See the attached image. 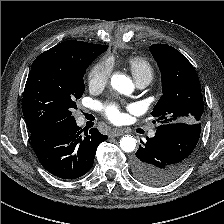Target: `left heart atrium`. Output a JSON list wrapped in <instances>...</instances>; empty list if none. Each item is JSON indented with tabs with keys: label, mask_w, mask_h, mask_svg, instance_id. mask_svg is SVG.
<instances>
[{
	"label": "left heart atrium",
	"mask_w": 224,
	"mask_h": 224,
	"mask_svg": "<svg viewBox=\"0 0 224 224\" xmlns=\"http://www.w3.org/2000/svg\"><path fill=\"white\" fill-rule=\"evenodd\" d=\"M105 116L112 122H119L121 119V111L116 104H108L102 107Z\"/></svg>",
	"instance_id": "obj_1"
}]
</instances>
